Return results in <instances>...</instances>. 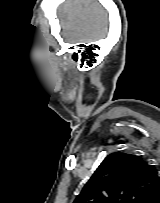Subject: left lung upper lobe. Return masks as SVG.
Listing matches in <instances>:
<instances>
[{
	"label": "left lung upper lobe",
	"instance_id": "left-lung-upper-lobe-1",
	"mask_svg": "<svg viewBox=\"0 0 160 203\" xmlns=\"http://www.w3.org/2000/svg\"><path fill=\"white\" fill-rule=\"evenodd\" d=\"M160 177L138 156L112 153L96 169L73 203H152Z\"/></svg>",
	"mask_w": 160,
	"mask_h": 203
}]
</instances>
